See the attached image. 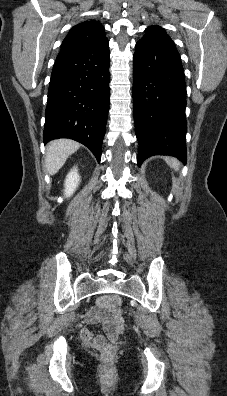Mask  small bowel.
I'll return each instance as SVG.
<instances>
[{
  "instance_id": "small-bowel-1",
  "label": "small bowel",
  "mask_w": 227,
  "mask_h": 396,
  "mask_svg": "<svg viewBox=\"0 0 227 396\" xmlns=\"http://www.w3.org/2000/svg\"><path fill=\"white\" fill-rule=\"evenodd\" d=\"M86 320L91 324L101 323L106 337L111 341L116 340L125 329V323L119 312L112 308L109 296H103L97 300L96 306L87 313ZM81 338L84 342L97 347L103 346L106 342L104 335H95L89 328L82 329Z\"/></svg>"
}]
</instances>
